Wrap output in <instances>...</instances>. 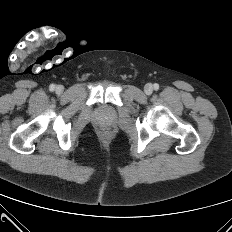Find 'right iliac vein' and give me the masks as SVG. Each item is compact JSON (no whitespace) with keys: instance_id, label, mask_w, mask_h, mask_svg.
<instances>
[{"instance_id":"right-iliac-vein-1","label":"right iliac vein","mask_w":232,"mask_h":232,"mask_svg":"<svg viewBox=\"0 0 232 232\" xmlns=\"http://www.w3.org/2000/svg\"><path fill=\"white\" fill-rule=\"evenodd\" d=\"M56 93L61 94L64 91V87L61 85H58L55 89Z\"/></svg>"}]
</instances>
